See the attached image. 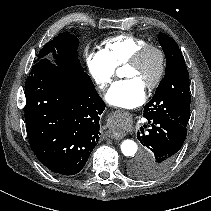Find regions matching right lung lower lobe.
I'll list each match as a JSON object with an SVG mask.
<instances>
[{"label": "right lung lower lobe", "instance_id": "1", "mask_svg": "<svg viewBox=\"0 0 211 211\" xmlns=\"http://www.w3.org/2000/svg\"><path fill=\"white\" fill-rule=\"evenodd\" d=\"M39 54L25 83V122L31 149L49 170L75 175L99 140L105 104L89 75L53 53Z\"/></svg>", "mask_w": 211, "mask_h": 211}]
</instances>
